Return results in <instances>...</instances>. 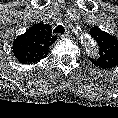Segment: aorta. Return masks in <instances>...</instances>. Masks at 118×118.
Returning a JSON list of instances; mask_svg holds the SVG:
<instances>
[{
	"instance_id": "1",
	"label": "aorta",
	"mask_w": 118,
	"mask_h": 118,
	"mask_svg": "<svg viewBox=\"0 0 118 118\" xmlns=\"http://www.w3.org/2000/svg\"><path fill=\"white\" fill-rule=\"evenodd\" d=\"M81 42L87 53L93 54V55L97 54L96 42L88 33L81 34Z\"/></svg>"
}]
</instances>
